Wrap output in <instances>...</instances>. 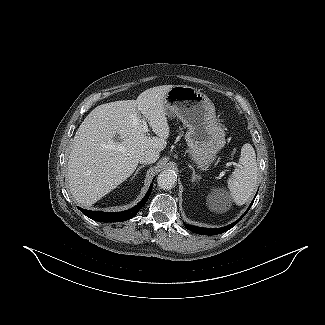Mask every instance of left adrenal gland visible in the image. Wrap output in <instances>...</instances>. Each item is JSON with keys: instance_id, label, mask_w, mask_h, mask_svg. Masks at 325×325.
Here are the masks:
<instances>
[{"instance_id": "a2214340", "label": "left adrenal gland", "mask_w": 325, "mask_h": 325, "mask_svg": "<svg viewBox=\"0 0 325 325\" xmlns=\"http://www.w3.org/2000/svg\"><path fill=\"white\" fill-rule=\"evenodd\" d=\"M188 166L192 170V182H195L198 179H200V175L196 174L195 169L191 165H188Z\"/></svg>"}]
</instances>
